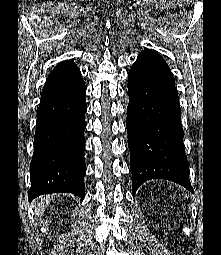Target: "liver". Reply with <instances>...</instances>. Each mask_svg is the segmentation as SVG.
Listing matches in <instances>:
<instances>
[{
    "label": "liver",
    "mask_w": 221,
    "mask_h": 255,
    "mask_svg": "<svg viewBox=\"0 0 221 255\" xmlns=\"http://www.w3.org/2000/svg\"><path fill=\"white\" fill-rule=\"evenodd\" d=\"M40 201L37 203V208L35 210L36 214L41 215L45 207L49 204L50 198L42 196L39 198Z\"/></svg>",
    "instance_id": "6515ba94"
}]
</instances>
